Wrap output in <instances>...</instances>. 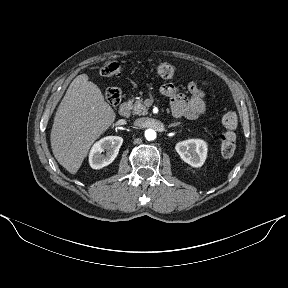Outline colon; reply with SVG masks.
<instances>
[{"mask_svg": "<svg viewBox=\"0 0 288 288\" xmlns=\"http://www.w3.org/2000/svg\"><path fill=\"white\" fill-rule=\"evenodd\" d=\"M156 72L158 76L163 79H171L175 74V68L172 64L162 62L157 65ZM100 73L104 77L119 76L121 73V66L117 62H107L101 69ZM122 91L119 87H109L105 91V97L110 104L116 105L121 99ZM222 124L226 132L221 140V154L230 158L234 155L236 150V135L234 130L238 125V116L234 110H228L222 117Z\"/></svg>", "mask_w": 288, "mask_h": 288, "instance_id": "colon-1", "label": "colon"}]
</instances>
